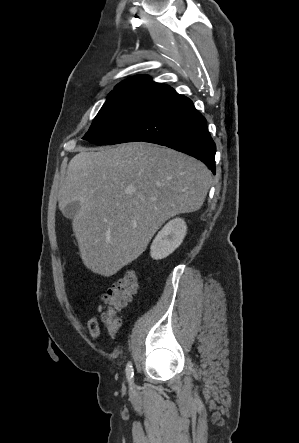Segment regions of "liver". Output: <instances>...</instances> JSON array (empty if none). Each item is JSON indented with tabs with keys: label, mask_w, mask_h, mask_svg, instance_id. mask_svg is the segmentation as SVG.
<instances>
[{
	"label": "liver",
	"mask_w": 299,
	"mask_h": 443,
	"mask_svg": "<svg viewBox=\"0 0 299 443\" xmlns=\"http://www.w3.org/2000/svg\"><path fill=\"white\" fill-rule=\"evenodd\" d=\"M201 161L134 142L83 149L68 164L59 208L79 201L72 228L84 265L111 276L138 258L169 218L199 210L211 185Z\"/></svg>",
	"instance_id": "1"
}]
</instances>
